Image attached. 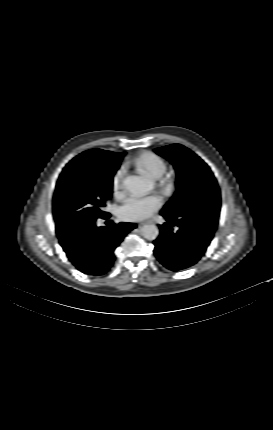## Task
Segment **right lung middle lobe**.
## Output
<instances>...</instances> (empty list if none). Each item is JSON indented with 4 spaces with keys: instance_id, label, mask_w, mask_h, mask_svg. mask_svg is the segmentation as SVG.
<instances>
[{
    "instance_id": "1",
    "label": "right lung middle lobe",
    "mask_w": 273,
    "mask_h": 430,
    "mask_svg": "<svg viewBox=\"0 0 273 430\" xmlns=\"http://www.w3.org/2000/svg\"><path fill=\"white\" fill-rule=\"evenodd\" d=\"M121 158L124 153H121ZM119 167L75 157L63 169L53 198L56 233L60 241L104 218L113 176Z\"/></svg>"
}]
</instances>
